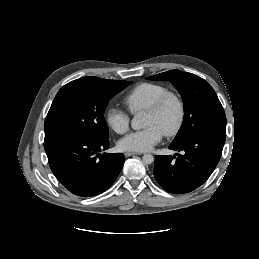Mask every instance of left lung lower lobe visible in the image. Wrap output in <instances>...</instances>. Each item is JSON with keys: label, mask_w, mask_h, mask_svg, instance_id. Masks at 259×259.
I'll return each mask as SVG.
<instances>
[{"label": "left lung lower lobe", "mask_w": 259, "mask_h": 259, "mask_svg": "<svg viewBox=\"0 0 259 259\" xmlns=\"http://www.w3.org/2000/svg\"><path fill=\"white\" fill-rule=\"evenodd\" d=\"M226 133L204 131L192 135L169 149L184 151L155 157L154 176L167 191L183 194L202 185L217 166L225 143Z\"/></svg>", "instance_id": "0a47b994"}]
</instances>
